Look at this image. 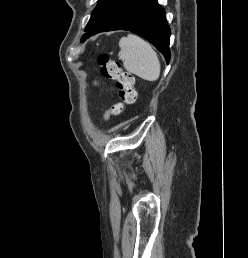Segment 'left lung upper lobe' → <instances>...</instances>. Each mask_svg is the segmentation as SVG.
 Here are the masks:
<instances>
[{"instance_id": "left-lung-upper-lobe-1", "label": "left lung upper lobe", "mask_w": 248, "mask_h": 258, "mask_svg": "<svg viewBox=\"0 0 248 258\" xmlns=\"http://www.w3.org/2000/svg\"><path fill=\"white\" fill-rule=\"evenodd\" d=\"M127 1L128 0H99L98 5L91 14V18L85 28V31L88 32L103 22L120 7H122Z\"/></svg>"}]
</instances>
